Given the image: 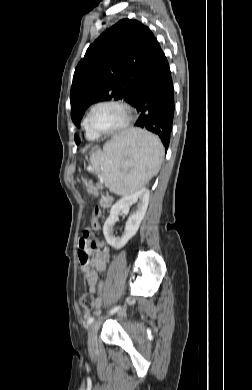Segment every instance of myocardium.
<instances>
[{
  "mask_svg": "<svg viewBox=\"0 0 252 390\" xmlns=\"http://www.w3.org/2000/svg\"><path fill=\"white\" fill-rule=\"evenodd\" d=\"M104 105H113V106L120 108L122 110V112L124 113V119L115 128L107 130V131H100V130H96L92 127L91 118H92V115H93V112L95 111V109L100 107V106H104ZM133 117H134L133 109L128 103L121 101V100H115V99L103 100V101H100V102H97L96 104H94L91 107V109L89 110V112L87 114V127L92 132L97 134L98 136H110V135H114L116 133H119V132L125 130L132 122Z\"/></svg>",
  "mask_w": 252,
  "mask_h": 390,
  "instance_id": "myocardium-1",
  "label": "myocardium"
}]
</instances>
